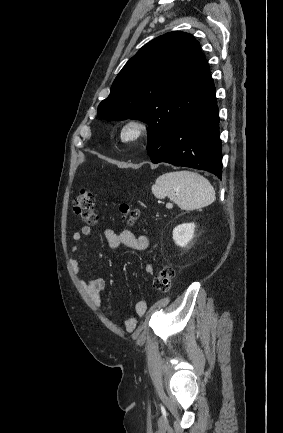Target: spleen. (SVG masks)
Listing matches in <instances>:
<instances>
[{
  "instance_id": "1",
  "label": "spleen",
  "mask_w": 283,
  "mask_h": 433,
  "mask_svg": "<svg viewBox=\"0 0 283 433\" xmlns=\"http://www.w3.org/2000/svg\"><path fill=\"white\" fill-rule=\"evenodd\" d=\"M152 192L156 198L176 202L182 210H195L208 206L215 200V190L205 176L191 170L165 172L155 180Z\"/></svg>"
}]
</instances>
